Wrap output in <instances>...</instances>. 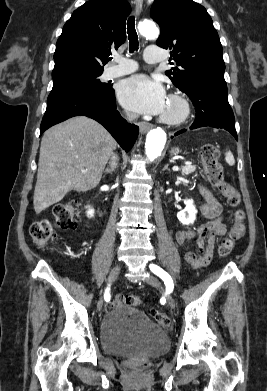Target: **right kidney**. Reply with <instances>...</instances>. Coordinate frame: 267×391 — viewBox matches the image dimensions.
Segmentation results:
<instances>
[{
    "label": "right kidney",
    "instance_id": "right-kidney-1",
    "mask_svg": "<svg viewBox=\"0 0 267 391\" xmlns=\"http://www.w3.org/2000/svg\"><path fill=\"white\" fill-rule=\"evenodd\" d=\"M87 215H88L89 217H93V216H94V209H90V208H89V210L87 211Z\"/></svg>",
    "mask_w": 267,
    "mask_h": 391
}]
</instances>
